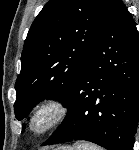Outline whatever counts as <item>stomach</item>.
I'll return each instance as SVG.
<instances>
[{"instance_id": "stomach-1", "label": "stomach", "mask_w": 139, "mask_h": 150, "mask_svg": "<svg viewBox=\"0 0 139 150\" xmlns=\"http://www.w3.org/2000/svg\"><path fill=\"white\" fill-rule=\"evenodd\" d=\"M56 150H75V149H74V148H72V147L63 146V147H59V148H57Z\"/></svg>"}]
</instances>
